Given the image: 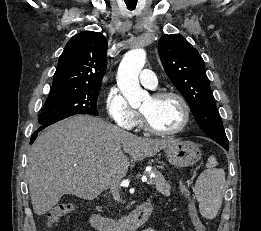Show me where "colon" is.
Listing matches in <instances>:
<instances>
[{"label":"colon","instance_id":"5ec220e1","mask_svg":"<svg viewBox=\"0 0 261 231\" xmlns=\"http://www.w3.org/2000/svg\"><path fill=\"white\" fill-rule=\"evenodd\" d=\"M189 209H190L192 221H193L194 226H195V231H206L205 226L200 221L192 203L189 204ZM70 211H71V209L68 208V206H66V205H64L63 207H57L55 209H52L48 213V220L51 221V222H54Z\"/></svg>","mask_w":261,"mask_h":231}]
</instances>
